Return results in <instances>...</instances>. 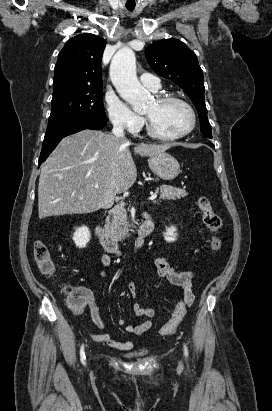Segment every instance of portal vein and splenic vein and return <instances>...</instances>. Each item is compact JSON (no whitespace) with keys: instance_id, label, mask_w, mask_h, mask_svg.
<instances>
[{"instance_id":"18ae733b","label":"portal vein and splenic vein","mask_w":272,"mask_h":411,"mask_svg":"<svg viewBox=\"0 0 272 411\" xmlns=\"http://www.w3.org/2000/svg\"><path fill=\"white\" fill-rule=\"evenodd\" d=\"M95 187L98 188V185H96ZM156 198H157V194H153V195H151V196L148 198V200L153 201V200H155ZM123 205H124V203L121 202V206H123Z\"/></svg>"}]
</instances>
